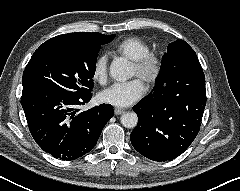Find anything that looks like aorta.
<instances>
[{"label": "aorta", "mask_w": 240, "mask_h": 191, "mask_svg": "<svg viewBox=\"0 0 240 191\" xmlns=\"http://www.w3.org/2000/svg\"><path fill=\"white\" fill-rule=\"evenodd\" d=\"M133 70L128 61L122 58L113 60L110 65V76L120 82L126 81L132 77ZM121 123L126 128H134L138 123V117L135 112H126L121 116Z\"/></svg>", "instance_id": "1"}]
</instances>
